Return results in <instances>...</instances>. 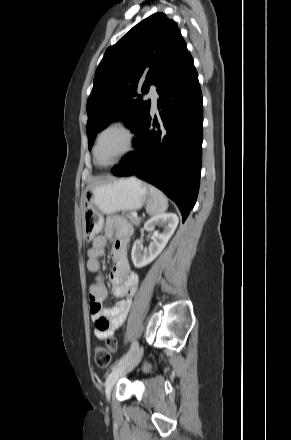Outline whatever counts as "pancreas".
<instances>
[{"label": "pancreas", "mask_w": 291, "mask_h": 440, "mask_svg": "<svg viewBox=\"0 0 291 440\" xmlns=\"http://www.w3.org/2000/svg\"><path fill=\"white\" fill-rule=\"evenodd\" d=\"M123 214L126 216L127 219L130 220V222L135 225V226H139L141 219L138 217H133L131 212H123Z\"/></svg>", "instance_id": "1"}]
</instances>
